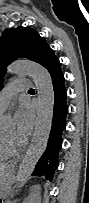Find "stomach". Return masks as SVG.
I'll use <instances>...</instances> for the list:
<instances>
[{"mask_svg": "<svg viewBox=\"0 0 89 203\" xmlns=\"http://www.w3.org/2000/svg\"><path fill=\"white\" fill-rule=\"evenodd\" d=\"M13 172H14V166H8L6 168L5 174L2 178V186L5 191H7L9 189V186H10V183L12 180V176H13Z\"/></svg>", "mask_w": 89, "mask_h": 203, "instance_id": "1", "label": "stomach"}]
</instances>
